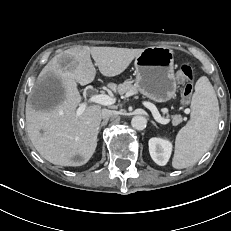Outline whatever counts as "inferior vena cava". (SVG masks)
I'll list each match as a JSON object with an SVG mask.
<instances>
[{
  "instance_id": "602c4592",
  "label": "inferior vena cava",
  "mask_w": 231,
  "mask_h": 231,
  "mask_svg": "<svg viewBox=\"0 0 231 231\" xmlns=\"http://www.w3.org/2000/svg\"><path fill=\"white\" fill-rule=\"evenodd\" d=\"M116 113L117 112L114 110L102 109L101 118L106 120V119H109L110 117L116 115Z\"/></svg>"
}]
</instances>
